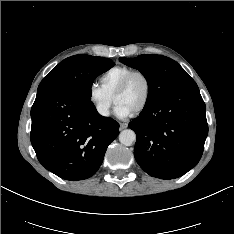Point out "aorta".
I'll use <instances>...</instances> for the list:
<instances>
[{"label":"aorta","mask_w":234,"mask_h":234,"mask_svg":"<svg viewBox=\"0 0 234 234\" xmlns=\"http://www.w3.org/2000/svg\"><path fill=\"white\" fill-rule=\"evenodd\" d=\"M136 140V134L131 129H125L119 134V141L125 146H131Z\"/></svg>","instance_id":"obj_1"}]
</instances>
